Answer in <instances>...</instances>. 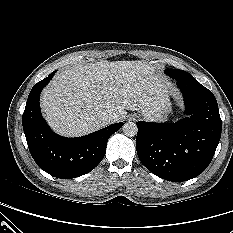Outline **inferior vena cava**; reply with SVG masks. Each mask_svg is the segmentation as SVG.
Listing matches in <instances>:
<instances>
[{"instance_id": "602c4592", "label": "inferior vena cava", "mask_w": 233, "mask_h": 233, "mask_svg": "<svg viewBox=\"0 0 233 233\" xmlns=\"http://www.w3.org/2000/svg\"><path fill=\"white\" fill-rule=\"evenodd\" d=\"M97 122L103 126H106L111 123V117L108 115H102L97 119Z\"/></svg>"}]
</instances>
